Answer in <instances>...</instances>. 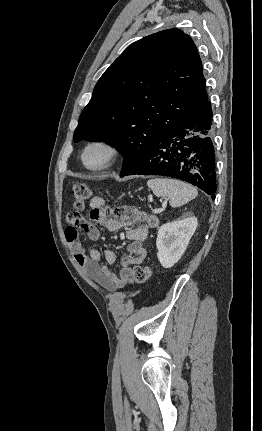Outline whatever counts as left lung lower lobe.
<instances>
[{"instance_id": "1", "label": "left lung lower lobe", "mask_w": 262, "mask_h": 431, "mask_svg": "<svg viewBox=\"0 0 262 431\" xmlns=\"http://www.w3.org/2000/svg\"><path fill=\"white\" fill-rule=\"evenodd\" d=\"M215 169L212 109L207 99L194 115L158 141L124 176L172 177L191 183L214 197Z\"/></svg>"}]
</instances>
